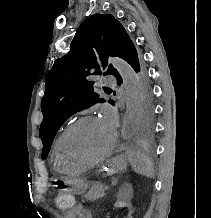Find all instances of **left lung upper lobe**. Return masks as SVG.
<instances>
[{"label":"left lung upper lobe","mask_w":211,"mask_h":218,"mask_svg":"<svg viewBox=\"0 0 211 218\" xmlns=\"http://www.w3.org/2000/svg\"><path fill=\"white\" fill-rule=\"evenodd\" d=\"M117 56L127 61L140 72L143 81L144 102L141 107L143 125L151 129L153 104L147 73L141 71L142 56L129 38L122 24L110 14H94L88 17L77 29L67 55L55 60L46 79L45 94L41 110L43 121L39 136L43 142L42 158L48 154L53 139L61 125L74 113L104 102L95 91L93 75L111 74L122 83L118 71L108 66V57ZM105 93L111 89L104 87ZM110 90V92H109ZM115 95V94H114ZM112 105L113 100H109Z\"/></svg>","instance_id":"1"}]
</instances>
